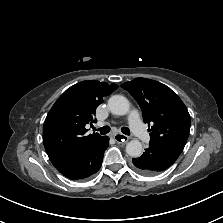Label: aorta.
<instances>
[{"mask_svg": "<svg viewBox=\"0 0 223 223\" xmlns=\"http://www.w3.org/2000/svg\"><path fill=\"white\" fill-rule=\"evenodd\" d=\"M108 108L112 114L125 115L129 112L130 104L127 98L122 95H113L108 100ZM126 153L134 158L142 155V144L139 140H131L126 145Z\"/></svg>", "mask_w": 223, "mask_h": 223, "instance_id": "762f6f07", "label": "aorta"}]
</instances>
